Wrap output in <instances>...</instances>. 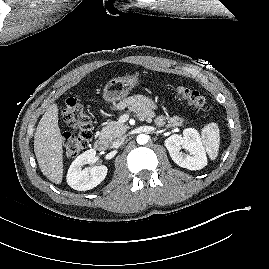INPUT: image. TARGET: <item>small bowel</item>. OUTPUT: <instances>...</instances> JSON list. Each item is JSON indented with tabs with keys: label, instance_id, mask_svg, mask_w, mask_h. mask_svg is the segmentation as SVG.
<instances>
[{
	"label": "small bowel",
	"instance_id": "1",
	"mask_svg": "<svg viewBox=\"0 0 269 269\" xmlns=\"http://www.w3.org/2000/svg\"><path fill=\"white\" fill-rule=\"evenodd\" d=\"M120 106L129 108L143 118L152 116L155 108L154 102L141 94H136L127 98L120 103Z\"/></svg>",
	"mask_w": 269,
	"mask_h": 269
}]
</instances>
